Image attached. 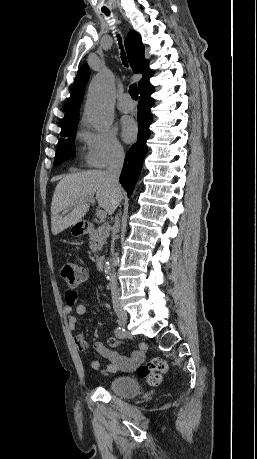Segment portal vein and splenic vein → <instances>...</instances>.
Returning a JSON list of instances; mask_svg holds the SVG:
<instances>
[{
	"instance_id": "1",
	"label": "portal vein and splenic vein",
	"mask_w": 257,
	"mask_h": 459,
	"mask_svg": "<svg viewBox=\"0 0 257 459\" xmlns=\"http://www.w3.org/2000/svg\"><path fill=\"white\" fill-rule=\"evenodd\" d=\"M87 202H90V203L93 204L95 202V200L93 198H90V199L87 200ZM96 216L100 220H103L106 217V213L103 210H97Z\"/></svg>"
}]
</instances>
